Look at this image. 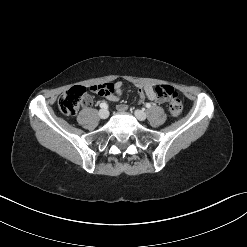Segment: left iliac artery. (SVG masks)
I'll use <instances>...</instances> for the list:
<instances>
[{
  "mask_svg": "<svg viewBox=\"0 0 247 247\" xmlns=\"http://www.w3.org/2000/svg\"><path fill=\"white\" fill-rule=\"evenodd\" d=\"M146 107L147 108H150L151 107V104L150 103H146Z\"/></svg>",
  "mask_w": 247,
  "mask_h": 247,
  "instance_id": "obj_1",
  "label": "left iliac artery"
}]
</instances>
